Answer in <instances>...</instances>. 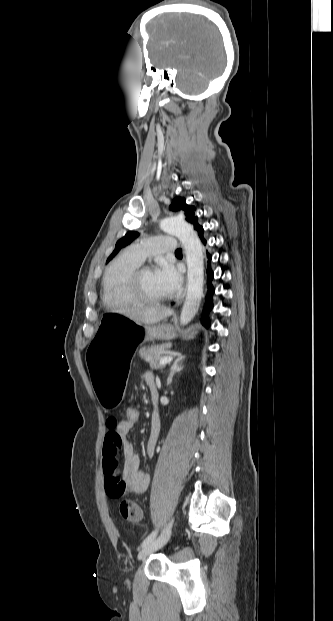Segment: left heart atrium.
I'll use <instances>...</instances> for the list:
<instances>
[{"mask_svg": "<svg viewBox=\"0 0 333 621\" xmlns=\"http://www.w3.org/2000/svg\"><path fill=\"white\" fill-rule=\"evenodd\" d=\"M155 275L166 290L167 294L175 292L181 285V275L170 263H162L155 270Z\"/></svg>", "mask_w": 333, "mask_h": 621, "instance_id": "left-heart-atrium-1", "label": "left heart atrium"}]
</instances>
